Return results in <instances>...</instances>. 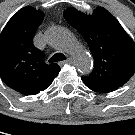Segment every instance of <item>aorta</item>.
Listing matches in <instances>:
<instances>
[{
    "label": "aorta",
    "instance_id": "aorta-1",
    "mask_svg": "<svg viewBox=\"0 0 135 135\" xmlns=\"http://www.w3.org/2000/svg\"><path fill=\"white\" fill-rule=\"evenodd\" d=\"M47 39L54 49L69 53L74 65L81 73H90L93 66L91 56L81 47L68 29L61 26L52 27L48 31Z\"/></svg>",
    "mask_w": 135,
    "mask_h": 135
}]
</instances>
